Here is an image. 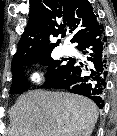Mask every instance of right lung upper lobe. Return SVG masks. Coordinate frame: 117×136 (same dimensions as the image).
<instances>
[{"instance_id": "right-lung-upper-lobe-1", "label": "right lung upper lobe", "mask_w": 117, "mask_h": 136, "mask_svg": "<svg viewBox=\"0 0 117 136\" xmlns=\"http://www.w3.org/2000/svg\"><path fill=\"white\" fill-rule=\"evenodd\" d=\"M98 15L87 0H30L27 27L20 38L12 60V70L22 64L49 56L59 40L51 44L50 37H57L69 28L74 33L72 42L94 28Z\"/></svg>"}]
</instances>
